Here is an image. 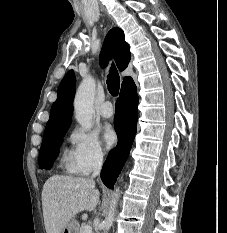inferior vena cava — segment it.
Segmentation results:
<instances>
[{
  "instance_id": "obj_1",
  "label": "inferior vena cava",
  "mask_w": 227,
  "mask_h": 233,
  "mask_svg": "<svg viewBox=\"0 0 227 233\" xmlns=\"http://www.w3.org/2000/svg\"><path fill=\"white\" fill-rule=\"evenodd\" d=\"M102 163H103V155L101 153L97 154L94 159L92 177H96L100 174Z\"/></svg>"
}]
</instances>
